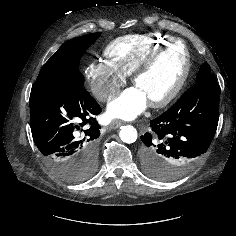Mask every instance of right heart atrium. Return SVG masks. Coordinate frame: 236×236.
Returning a JSON list of instances; mask_svg holds the SVG:
<instances>
[{
	"label": "right heart atrium",
	"mask_w": 236,
	"mask_h": 236,
	"mask_svg": "<svg viewBox=\"0 0 236 236\" xmlns=\"http://www.w3.org/2000/svg\"><path fill=\"white\" fill-rule=\"evenodd\" d=\"M86 77L93 95L100 102H107L115 96L126 81L125 75L106 60L91 62Z\"/></svg>",
	"instance_id": "d8ad5b80"
}]
</instances>
